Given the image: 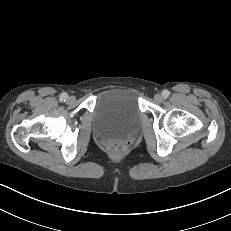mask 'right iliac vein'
<instances>
[{"instance_id": "right-iliac-vein-1", "label": "right iliac vein", "mask_w": 231, "mask_h": 231, "mask_svg": "<svg viewBox=\"0 0 231 231\" xmlns=\"http://www.w3.org/2000/svg\"><path fill=\"white\" fill-rule=\"evenodd\" d=\"M68 101H69L70 103H73V102L75 101V97H74V96H70V97L68 98Z\"/></svg>"}]
</instances>
